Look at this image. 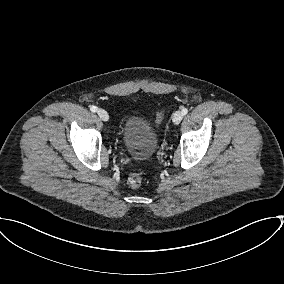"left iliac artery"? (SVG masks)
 <instances>
[{
  "instance_id": "obj_1",
  "label": "left iliac artery",
  "mask_w": 284,
  "mask_h": 284,
  "mask_svg": "<svg viewBox=\"0 0 284 284\" xmlns=\"http://www.w3.org/2000/svg\"><path fill=\"white\" fill-rule=\"evenodd\" d=\"M188 113V109L187 108H184L183 110H182V114L183 115H186Z\"/></svg>"
}]
</instances>
